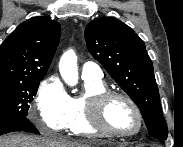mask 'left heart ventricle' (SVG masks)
Wrapping results in <instances>:
<instances>
[{
    "mask_svg": "<svg viewBox=\"0 0 183 147\" xmlns=\"http://www.w3.org/2000/svg\"><path fill=\"white\" fill-rule=\"evenodd\" d=\"M105 118L109 126L118 132L132 133L138 129L139 123L134 110L122 98H114L107 103Z\"/></svg>",
    "mask_w": 183,
    "mask_h": 147,
    "instance_id": "obj_1",
    "label": "left heart ventricle"
}]
</instances>
